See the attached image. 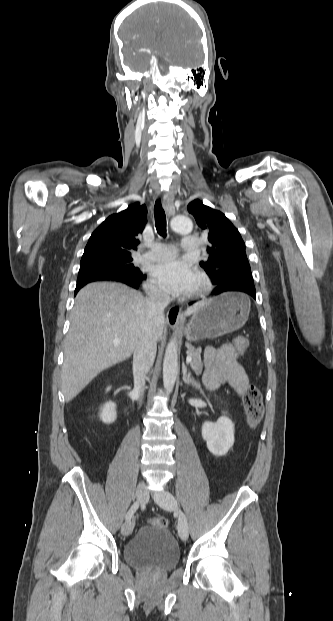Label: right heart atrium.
<instances>
[{
	"mask_svg": "<svg viewBox=\"0 0 333 621\" xmlns=\"http://www.w3.org/2000/svg\"><path fill=\"white\" fill-rule=\"evenodd\" d=\"M146 289L150 295L156 298L163 299L167 295L166 291L154 281H148Z\"/></svg>",
	"mask_w": 333,
	"mask_h": 621,
	"instance_id": "obj_1",
	"label": "right heart atrium"
}]
</instances>
